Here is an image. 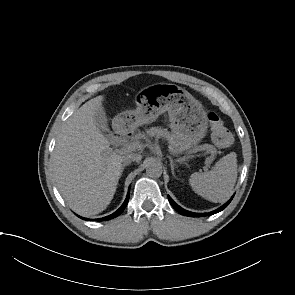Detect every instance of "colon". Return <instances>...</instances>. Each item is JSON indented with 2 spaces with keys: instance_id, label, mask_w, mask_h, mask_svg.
Wrapping results in <instances>:
<instances>
[{
  "instance_id": "obj_1",
  "label": "colon",
  "mask_w": 295,
  "mask_h": 295,
  "mask_svg": "<svg viewBox=\"0 0 295 295\" xmlns=\"http://www.w3.org/2000/svg\"><path fill=\"white\" fill-rule=\"evenodd\" d=\"M207 119L213 142L221 148L229 147L233 142V136L225 127L220 116L215 112H210Z\"/></svg>"
}]
</instances>
